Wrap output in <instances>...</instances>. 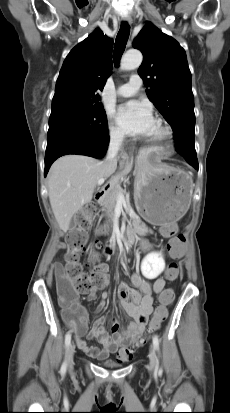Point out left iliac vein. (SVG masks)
Instances as JSON below:
<instances>
[{
	"mask_svg": "<svg viewBox=\"0 0 230 413\" xmlns=\"http://www.w3.org/2000/svg\"><path fill=\"white\" fill-rule=\"evenodd\" d=\"M158 362H157V356H156V351L153 345L150 346V352H149V366L148 369L149 371H154L155 368L157 367Z\"/></svg>",
	"mask_w": 230,
	"mask_h": 413,
	"instance_id": "obj_1",
	"label": "left iliac vein"
}]
</instances>
